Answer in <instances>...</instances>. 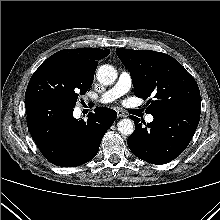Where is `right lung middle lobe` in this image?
<instances>
[{
	"label": "right lung middle lobe",
	"instance_id": "right-lung-middle-lobe-1",
	"mask_svg": "<svg viewBox=\"0 0 220 220\" xmlns=\"http://www.w3.org/2000/svg\"><path fill=\"white\" fill-rule=\"evenodd\" d=\"M93 77L73 62L48 58L32 75L25 98L49 97L75 107L78 96L91 88Z\"/></svg>",
	"mask_w": 220,
	"mask_h": 220
}]
</instances>
